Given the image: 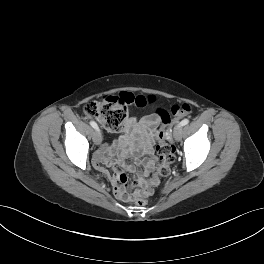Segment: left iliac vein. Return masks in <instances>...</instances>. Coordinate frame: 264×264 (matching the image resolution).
Instances as JSON below:
<instances>
[{"label":"left iliac vein","instance_id":"4c4485c4","mask_svg":"<svg viewBox=\"0 0 264 264\" xmlns=\"http://www.w3.org/2000/svg\"><path fill=\"white\" fill-rule=\"evenodd\" d=\"M181 134H182V126L178 125L174 128L173 136L175 140L179 141L181 139Z\"/></svg>","mask_w":264,"mask_h":264}]
</instances>
